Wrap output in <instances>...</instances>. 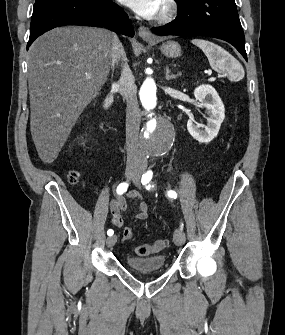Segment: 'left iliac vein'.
Returning <instances> with one entry per match:
<instances>
[{
	"label": "left iliac vein",
	"instance_id": "obj_1",
	"mask_svg": "<svg viewBox=\"0 0 285 335\" xmlns=\"http://www.w3.org/2000/svg\"><path fill=\"white\" fill-rule=\"evenodd\" d=\"M133 183L140 187V172L136 173L132 178ZM174 242L177 246H182L185 243V234L182 229H177L173 235Z\"/></svg>",
	"mask_w": 285,
	"mask_h": 335
}]
</instances>
